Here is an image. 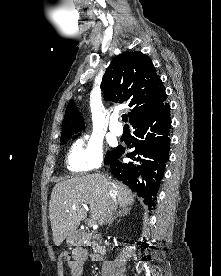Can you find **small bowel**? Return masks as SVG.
<instances>
[{
	"mask_svg": "<svg viewBox=\"0 0 221 276\" xmlns=\"http://www.w3.org/2000/svg\"><path fill=\"white\" fill-rule=\"evenodd\" d=\"M88 260V254L83 248H75L71 254V260L68 263L72 276H81L84 272L85 264ZM92 261H98L99 258L93 254Z\"/></svg>",
	"mask_w": 221,
	"mask_h": 276,
	"instance_id": "c3829d8e",
	"label": "small bowel"
}]
</instances>
